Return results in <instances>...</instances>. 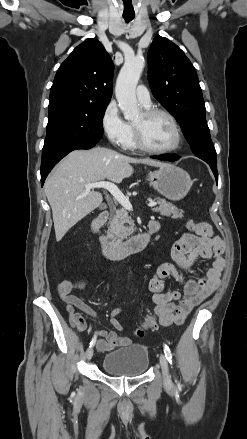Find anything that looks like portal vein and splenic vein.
I'll return each mask as SVG.
<instances>
[{"mask_svg": "<svg viewBox=\"0 0 247 439\" xmlns=\"http://www.w3.org/2000/svg\"><path fill=\"white\" fill-rule=\"evenodd\" d=\"M85 188L87 191L94 189V188L107 189L126 210H129V211L133 210L129 199L119 190V188L115 184H113L111 182L102 181V182L90 183V184L85 185ZM147 205L149 207H154L157 205V203L151 201Z\"/></svg>", "mask_w": 247, "mask_h": 439, "instance_id": "1", "label": "portal vein and splenic vein"}]
</instances>
